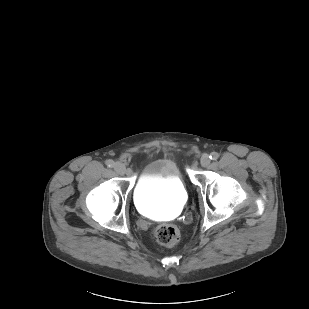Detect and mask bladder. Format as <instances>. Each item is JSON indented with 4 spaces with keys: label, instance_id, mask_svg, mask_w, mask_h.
Masks as SVG:
<instances>
[{
    "label": "bladder",
    "instance_id": "obj_1",
    "mask_svg": "<svg viewBox=\"0 0 309 309\" xmlns=\"http://www.w3.org/2000/svg\"><path fill=\"white\" fill-rule=\"evenodd\" d=\"M187 199V189L172 159L158 158L147 163L137 177L135 204L147 216L172 217L183 209Z\"/></svg>",
    "mask_w": 309,
    "mask_h": 309
}]
</instances>
